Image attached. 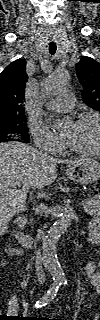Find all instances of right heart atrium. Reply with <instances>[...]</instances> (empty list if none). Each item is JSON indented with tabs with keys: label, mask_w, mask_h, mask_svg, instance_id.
I'll list each match as a JSON object with an SVG mask.
<instances>
[{
	"label": "right heart atrium",
	"mask_w": 100,
	"mask_h": 320,
	"mask_svg": "<svg viewBox=\"0 0 100 320\" xmlns=\"http://www.w3.org/2000/svg\"><path fill=\"white\" fill-rule=\"evenodd\" d=\"M30 134L37 147L50 153L59 152L64 145V141L60 137L40 123L32 122L30 124Z\"/></svg>",
	"instance_id": "obj_1"
}]
</instances>
